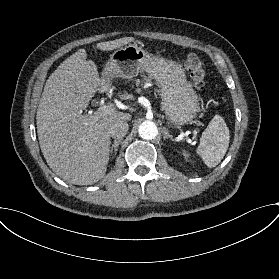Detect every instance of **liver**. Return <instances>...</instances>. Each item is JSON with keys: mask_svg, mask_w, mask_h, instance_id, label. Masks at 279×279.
Here are the masks:
<instances>
[{"mask_svg": "<svg viewBox=\"0 0 279 279\" xmlns=\"http://www.w3.org/2000/svg\"><path fill=\"white\" fill-rule=\"evenodd\" d=\"M136 40L122 37L96 43L95 48L113 51ZM117 74L105 66L100 77L86 49L81 48L45 83L36 112L39 145L49 168L67 183L93 185L105 177L112 146L108 130L117 122L130 121L132 115L118 110L102 117L82 112L101 86L121 82Z\"/></svg>", "mask_w": 279, "mask_h": 279, "instance_id": "liver-1", "label": "liver"}]
</instances>
